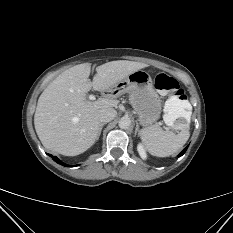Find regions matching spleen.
<instances>
[{"mask_svg":"<svg viewBox=\"0 0 233 233\" xmlns=\"http://www.w3.org/2000/svg\"><path fill=\"white\" fill-rule=\"evenodd\" d=\"M191 104L188 101L169 99L164 106L163 119L166 124L172 126L178 118H184L187 124L191 118ZM187 124L184 125L180 133L175 134L171 131H163L159 126L152 125L140 131V137L148 151L158 157H167L178 150L189 139V129Z\"/></svg>","mask_w":233,"mask_h":233,"instance_id":"1","label":"spleen"}]
</instances>
